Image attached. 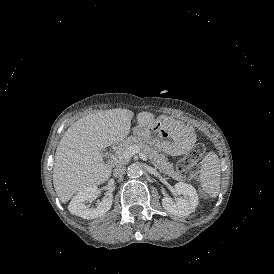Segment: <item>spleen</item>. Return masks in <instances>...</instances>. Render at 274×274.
Here are the masks:
<instances>
[{
  "mask_svg": "<svg viewBox=\"0 0 274 274\" xmlns=\"http://www.w3.org/2000/svg\"><path fill=\"white\" fill-rule=\"evenodd\" d=\"M221 180L220 161L217 153L206 152L201 161L199 186L201 194L214 199L219 194Z\"/></svg>",
  "mask_w": 274,
  "mask_h": 274,
  "instance_id": "1",
  "label": "spleen"
}]
</instances>
